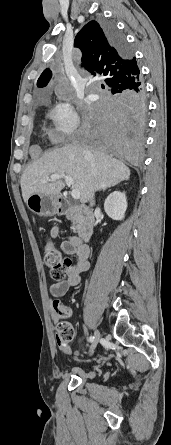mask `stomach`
Instances as JSON below:
<instances>
[{
  "label": "stomach",
  "mask_w": 171,
  "mask_h": 445,
  "mask_svg": "<svg viewBox=\"0 0 171 445\" xmlns=\"http://www.w3.org/2000/svg\"><path fill=\"white\" fill-rule=\"evenodd\" d=\"M26 204L39 216H51L58 211L59 197L34 193L28 197Z\"/></svg>",
  "instance_id": "stomach-1"
}]
</instances>
